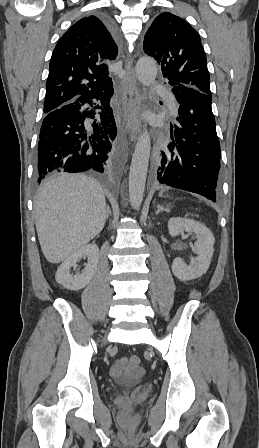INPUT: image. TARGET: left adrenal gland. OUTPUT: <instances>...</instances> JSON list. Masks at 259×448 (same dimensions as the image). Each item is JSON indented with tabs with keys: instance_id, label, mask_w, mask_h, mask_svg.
<instances>
[{
	"instance_id": "a2214340",
	"label": "left adrenal gland",
	"mask_w": 259,
	"mask_h": 448,
	"mask_svg": "<svg viewBox=\"0 0 259 448\" xmlns=\"http://www.w3.org/2000/svg\"><path fill=\"white\" fill-rule=\"evenodd\" d=\"M159 212H170L169 206H167V208H163V206H157L156 214H159Z\"/></svg>"
}]
</instances>
